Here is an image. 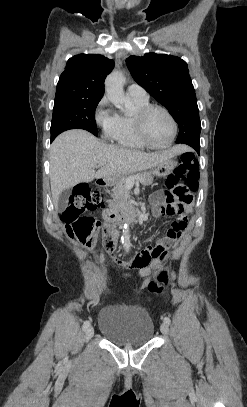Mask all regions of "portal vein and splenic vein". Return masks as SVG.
<instances>
[{
	"label": "portal vein and splenic vein",
	"mask_w": 247,
	"mask_h": 407,
	"mask_svg": "<svg viewBox=\"0 0 247 407\" xmlns=\"http://www.w3.org/2000/svg\"><path fill=\"white\" fill-rule=\"evenodd\" d=\"M104 165V163H101L100 164V166H103ZM134 178H128L127 180H126V186L128 187V188H130V187H133V185H134Z\"/></svg>",
	"instance_id": "1"
}]
</instances>
